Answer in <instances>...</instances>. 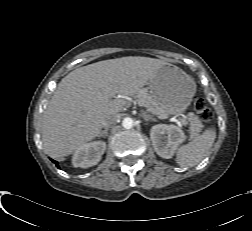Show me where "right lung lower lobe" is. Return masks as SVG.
<instances>
[{"instance_id":"obj_1","label":"right lung lower lobe","mask_w":252,"mask_h":231,"mask_svg":"<svg viewBox=\"0 0 252 231\" xmlns=\"http://www.w3.org/2000/svg\"><path fill=\"white\" fill-rule=\"evenodd\" d=\"M53 162H54V163L56 164V166H58V163H57V161H54V160H53Z\"/></svg>"}]
</instances>
